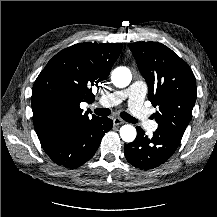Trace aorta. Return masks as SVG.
<instances>
[{
	"label": "aorta",
	"mask_w": 217,
	"mask_h": 217,
	"mask_svg": "<svg viewBox=\"0 0 217 217\" xmlns=\"http://www.w3.org/2000/svg\"><path fill=\"white\" fill-rule=\"evenodd\" d=\"M132 80V74L129 68L121 66L113 70L111 81L117 88L127 87ZM137 132L134 126L130 124L123 125L120 128V137L125 142H133L136 138Z\"/></svg>",
	"instance_id": "aorta-1"
}]
</instances>
